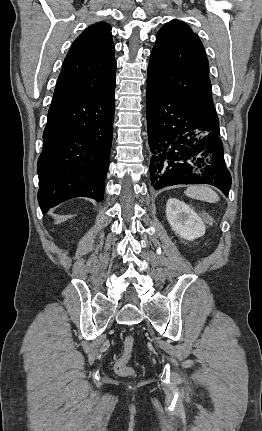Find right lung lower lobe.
Here are the masks:
<instances>
[{"mask_svg":"<svg viewBox=\"0 0 262 431\" xmlns=\"http://www.w3.org/2000/svg\"><path fill=\"white\" fill-rule=\"evenodd\" d=\"M114 97L52 99L37 164L43 213L73 197L103 200Z\"/></svg>","mask_w":262,"mask_h":431,"instance_id":"obj_1","label":"right lung lower lobe"}]
</instances>
